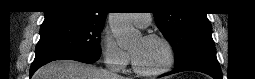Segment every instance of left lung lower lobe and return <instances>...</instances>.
Segmentation results:
<instances>
[{
	"mask_svg": "<svg viewBox=\"0 0 255 79\" xmlns=\"http://www.w3.org/2000/svg\"><path fill=\"white\" fill-rule=\"evenodd\" d=\"M182 71H198V72L208 74L214 79L223 78L216 55L204 56V57L196 58L194 60L186 62L180 66H177L176 69L169 74L182 72ZM169 74H165L163 76H166Z\"/></svg>",
	"mask_w": 255,
	"mask_h": 79,
	"instance_id": "1",
	"label": "left lung lower lobe"
}]
</instances>
